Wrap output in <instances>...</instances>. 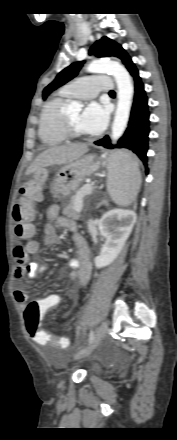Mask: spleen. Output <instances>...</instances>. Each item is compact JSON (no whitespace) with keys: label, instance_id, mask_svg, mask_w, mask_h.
Wrapping results in <instances>:
<instances>
[{"label":"spleen","instance_id":"spleen-1","mask_svg":"<svg viewBox=\"0 0 177 440\" xmlns=\"http://www.w3.org/2000/svg\"><path fill=\"white\" fill-rule=\"evenodd\" d=\"M122 164L109 168L107 189L118 205H129L135 198L141 184L136 158L129 152H119Z\"/></svg>","mask_w":177,"mask_h":440}]
</instances>
